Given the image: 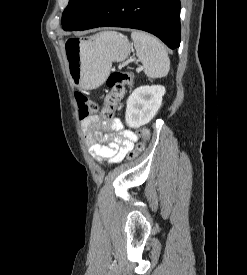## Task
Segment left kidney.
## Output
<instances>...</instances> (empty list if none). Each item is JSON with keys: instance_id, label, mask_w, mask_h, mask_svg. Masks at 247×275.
Segmentation results:
<instances>
[{"instance_id": "obj_1", "label": "left kidney", "mask_w": 247, "mask_h": 275, "mask_svg": "<svg viewBox=\"0 0 247 275\" xmlns=\"http://www.w3.org/2000/svg\"><path fill=\"white\" fill-rule=\"evenodd\" d=\"M165 87L162 85L140 86L127 100L125 120L130 128L149 123L162 104Z\"/></svg>"}]
</instances>
